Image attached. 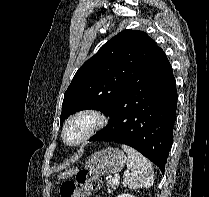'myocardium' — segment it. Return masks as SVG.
Masks as SVG:
<instances>
[{"instance_id": "myocardium-1", "label": "myocardium", "mask_w": 209, "mask_h": 197, "mask_svg": "<svg viewBox=\"0 0 209 197\" xmlns=\"http://www.w3.org/2000/svg\"><path fill=\"white\" fill-rule=\"evenodd\" d=\"M81 120L86 122V126L74 140H68L67 132ZM107 122L108 117L103 111L89 107L81 108L66 119L60 134L61 140L68 147H78L104 128Z\"/></svg>"}]
</instances>
